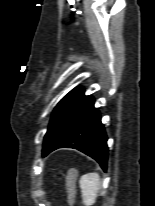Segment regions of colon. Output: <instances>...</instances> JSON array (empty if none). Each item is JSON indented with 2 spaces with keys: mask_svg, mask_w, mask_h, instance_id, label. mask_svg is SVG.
<instances>
[{
  "mask_svg": "<svg viewBox=\"0 0 155 206\" xmlns=\"http://www.w3.org/2000/svg\"><path fill=\"white\" fill-rule=\"evenodd\" d=\"M75 193H76L75 185L73 184L72 181H70L67 186L68 200L70 203H73L75 199Z\"/></svg>",
  "mask_w": 155,
  "mask_h": 206,
  "instance_id": "obj_1",
  "label": "colon"
}]
</instances>
